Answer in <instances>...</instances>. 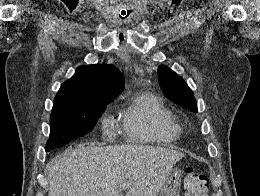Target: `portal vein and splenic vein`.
<instances>
[{"label":"portal vein and splenic vein","instance_id":"1","mask_svg":"<svg viewBox=\"0 0 260 196\" xmlns=\"http://www.w3.org/2000/svg\"><path fill=\"white\" fill-rule=\"evenodd\" d=\"M121 190H128V188H130V184H122V186H120Z\"/></svg>","mask_w":260,"mask_h":196}]
</instances>
